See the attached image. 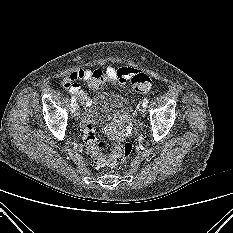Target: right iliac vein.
<instances>
[{
  "label": "right iliac vein",
  "instance_id": "63e3f726",
  "mask_svg": "<svg viewBox=\"0 0 233 233\" xmlns=\"http://www.w3.org/2000/svg\"><path fill=\"white\" fill-rule=\"evenodd\" d=\"M74 117L75 119L78 120V118L80 117V111H79V107L78 105L76 104V108H75V111H74Z\"/></svg>",
  "mask_w": 233,
  "mask_h": 233
}]
</instances>
